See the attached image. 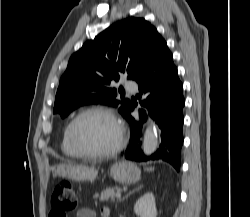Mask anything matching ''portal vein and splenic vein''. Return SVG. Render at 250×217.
<instances>
[{
  "label": "portal vein and splenic vein",
  "mask_w": 250,
  "mask_h": 217,
  "mask_svg": "<svg viewBox=\"0 0 250 217\" xmlns=\"http://www.w3.org/2000/svg\"><path fill=\"white\" fill-rule=\"evenodd\" d=\"M116 197H117V198H120V197H121V193H117V194H116Z\"/></svg>",
  "instance_id": "portal-vein-and-splenic-vein-1"
}]
</instances>
